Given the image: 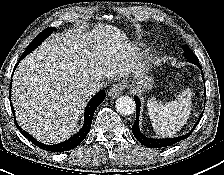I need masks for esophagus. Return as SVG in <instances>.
Instances as JSON below:
<instances>
[{
    "mask_svg": "<svg viewBox=\"0 0 224 175\" xmlns=\"http://www.w3.org/2000/svg\"><path fill=\"white\" fill-rule=\"evenodd\" d=\"M123 89H124L123 83H121V82L115 83V84H113V86L111 87V89L109 91V96L112 98H116L122 93Z\"/></svg>",
    "mask_w": 224,
    "mask_h": 175,
    "instance_id": "34e87169",
    "label": "esophagus"
}]
</instances>
